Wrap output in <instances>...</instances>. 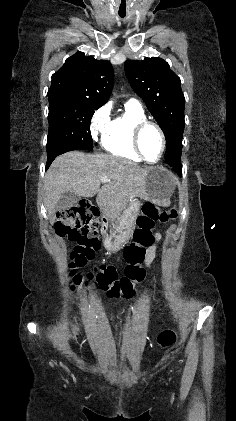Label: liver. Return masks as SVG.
<instances>
[{
  "instance_id": "6515ba94",
  "label": "liver",
  "mask_w": 236,
  "mask_h": 421,
  "mask_svg": "<svg viewBox=\"0 0 236 421\" xmlns=\"http://www.w3.org/2000/svg\"><path fill=\"white\" fill-rule=\"evenodd\" d=\"M101 176H108L109 182L102 184ZM146 178V168L113 154L64 152L53 160L45 174L44 200L48 219L51 225L55 223L57 202L68 190L79 196L97 194L96 202L104 217L117 219L131 198H148Z\"/></svg>"
}]
</instances>
